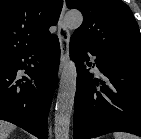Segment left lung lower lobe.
I'll return each instance as SVG.
<instances>
[{
    "label": "left lung lower lobe",
    "instance_id": "0a47b994",
    "mask_svg": "<svg viewBox=\"0 0 141 139\" xmlns=\"http://www.w3.org/2000/svg\"><path fill=\"white\" fill-rule=\"evenodd\" d=\"M87 52L96 56L103 75L93 79ZM70 56L77 67L74 109V139L110 132H128L141 137V60L103 52L90 43L71 37Z\"/></svg>",
    "mask_w": 141,
    "mask_h": 139
}]
</instances>
